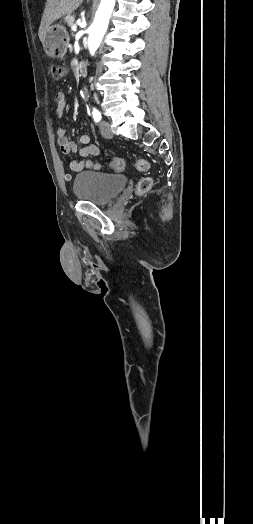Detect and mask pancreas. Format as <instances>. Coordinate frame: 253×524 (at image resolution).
Returning <instances> with one entry per match:
<instances>
[{"label":"pancreas","mask_w":253,"mask_h":524,"mask_svg":"<svg viewBox=\"0 0 253 524\" xmlns=\"http://www.w3.org/2000/svg\"><path fill=\"white\" fill-rule=\"evenodd\" d=\"M74 21H75V15L74 14H67L66 17L64 18V22L68 25V26H72L74 24Z\"/></svg>","instance_id":"cf45deb5"}]
</instances>
